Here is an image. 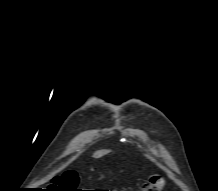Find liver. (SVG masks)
Segmentation results:
<instances>
[{
    "label": "liver",
    "mask_w": 218,
    "mask_h": 191,
    "mask_svg": "<svg viewBox=\"0 0 218 191\" xmlns=\"http://www.w3.org/2000/svg\"><path fill=\"white\" fill-rule=\"evenodd\" d=\"M109 151L108 150H99V151H96L93 156L95 158H99V157H102L103 155L107 154Z\"/></svg>",
    "instance_id": "obj_1"
}]
</instances>
